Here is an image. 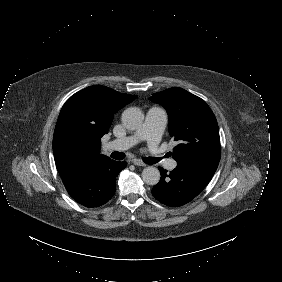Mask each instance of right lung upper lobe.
<instances>
[{
	"mask_svg": "<svg viewBox=\"0 0 282 282\" xmlns=\"http://www.w3.org/2000/svg\"><path fill=\"white\" fill-rule=\"evenodd\" d=\"M136 97L94 85L66 101L53 136V153L61 177L91 162L109 158L100 154L101 138L108 133L113 114Z\"/></svg>",
	"mask_w": 282,
	"mask_h": 282,
	"instance_id": "obj_1",
	"label": "right lung upper lobe"
}]
</instances>
